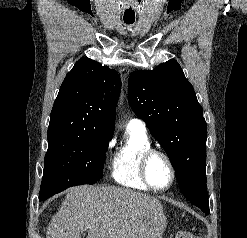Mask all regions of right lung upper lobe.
<instances>
[{"instance_id":"cb5924a9","label":"right lung upper lobe","mask_w":247,"mask_h":238,"mask_svg":"<svg viewBox=\"0 0 247 238\" xmlns=\"http://www.w3.org/2000/svg\"><path fill=\"white\" fill-rule=\"evenodd\" d=\"M120 89L115 70L86 57L79 59L60 87L48 135L94 130L112 137Z\"/></svg>"}]
</instances>
